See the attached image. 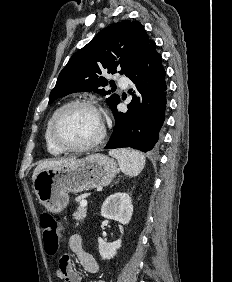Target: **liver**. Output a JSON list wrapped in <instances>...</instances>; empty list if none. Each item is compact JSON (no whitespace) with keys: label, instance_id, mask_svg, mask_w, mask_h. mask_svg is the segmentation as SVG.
Segmentation results:
<instances>
[{"label":"liver","instance_id":"6515ba94","mask_svg":"<svg viewBox=\"0 0 232 282\" xmlns=\"http://www.w3.org/2000/svg\"><path fill=\"white\" fill-rule=\"evenodd\" d=\"M75 159H60V160H45L43 162H40L39 165L34 170L32 180L34 181L35 177L39 172H41L44 169L57 167L63 164H68L74 162Z\"/></svg>","mask_w":232,"mask_h":282}]
</instances>
